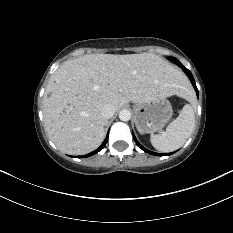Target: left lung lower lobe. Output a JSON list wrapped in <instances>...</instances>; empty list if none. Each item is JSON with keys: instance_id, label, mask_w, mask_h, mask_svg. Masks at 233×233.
Wrapping results in <instances>:
<instances>
[{"instance_id": "left-lung-lower-lobe-1", "label": "left lung lower lobe", "mask_w": 233, "mask_h": 233, "mask_svg": "<svg viewBox=\"0 0 233 233\" xmlns=\"http://www.w3.org/2000/svg\"><path fill=\"white\" fill-rule=\"evenodd\" d=\"M174 63L177 64L179 67H181L182 70H183V71L186 73V75L189 77V79H190V81H191V83H192V85H193V87H194V89H195V91H196V93H197V96H198V89H197V87H196V84H195V81H194V78H193L191 72H190L186 67H184L177 59L174 60ZM133 137H134V140H135V142L137 143V145H138L143 151H145V152H147V153H149V154L156 155V156H167V155H171V154L174 153V152H173V153H164V154H161V153H155V152L149 151V150H147L146 148H144V147L138 142V140L136 139L134 133H133Z\"/></svg>"}]
</instances>
